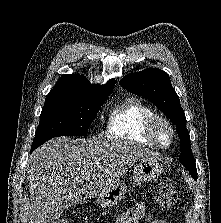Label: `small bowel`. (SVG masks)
Returning <instances> with one entry per match:
<instances>
[{
    "label": "small bowel",
    "mask_w": 221,
    "mask_h": 223,
    "mask_svg": "<svg viewBox=\"0 0 221 223\" xmlns=\"http://www.w3.org/2000/svg\"><path fill=\"white\" fill-rule=\"evenodd\" d=\"M145 219L148 223H167L165 220L156 219L143 203H137L129 210L120 214L116 223H139Z\"/></svg>",
    "instance_id": "c3829d8e"
}]
</instances>
